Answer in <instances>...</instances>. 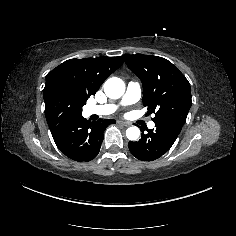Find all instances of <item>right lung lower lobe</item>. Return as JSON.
Returning <instances> with one entry per match:
<instances>
[{"mask_svg":"<svg viewBox=\"0 0 236 236\" xmlns=\"http://www.w3.org/2000/svg\"><path fill=\"white\" fill-rule=\"evenodd\" d=\"M115 122L110 119L90 122L80 115L50 130L64 155L77 162H88L99 153L106 127Z\"/></svg>","mask_w":236,"mask_h":236,"instance_id":"1","label":"right lung lower lobe"}]
</instances>
